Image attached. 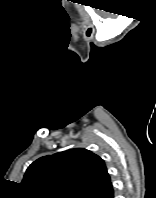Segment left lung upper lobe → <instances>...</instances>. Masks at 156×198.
I'll return each mask as SVG.
<instances>
[{
  "label": "left lung upper lobe",
  "instance_id": "5c2ea615",
  "mask_svg": "<svg viewBox=\"0 0 156 198\" xmlns=\"http://www.w3.org/2000/svg\"><path fill=\"white\" fill-rule=\"evenodd\" d=\"M110 181L102 158L76 148L37 159L22 184L28 198H92Z\"/></svg>",
  "mask_w": 156,
  "mask_h": 198
}]
</instances>
